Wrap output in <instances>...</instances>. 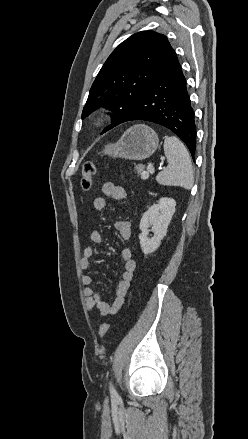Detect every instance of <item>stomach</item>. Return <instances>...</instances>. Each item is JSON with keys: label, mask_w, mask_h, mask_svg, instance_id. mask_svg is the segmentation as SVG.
<instances>
[{"label": "stomach", "mask_w": 248, "mask_h": 439, "mask_svg": "<svg viewBox=\"0 0 248 439\" xmlns=\"http://www.w3.org/2000/svg\"><path fill=\"white\" fill-rule=\"evenodd\" d=\"M158 144L156 132L147 125L138 124L125 131L116 143L107 145L103 154L113 158L143 160L156 151Z\"/></svg>", "instance_id": "obj_1"}]
</instances>
